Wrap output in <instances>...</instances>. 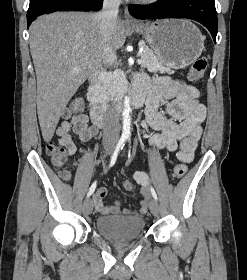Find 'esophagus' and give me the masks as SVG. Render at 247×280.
<instances>
[{
	"label": "esophagus",
	"instance_id": "34e87169",
	"mask_svg": "<svg viewBox=\"0 0 247 280\" xmlns=\"http://www.w3.org/2000/svg\"><path fill=\"white\" fill-rule=\"evenodd\" d=\"M125 22L127 24H137L138 21L132 17V15L129 13V11L127 9H125Z\"/></svg>",
	"mask_w": 247,
	"mask_h": 280
}]
</instances>
